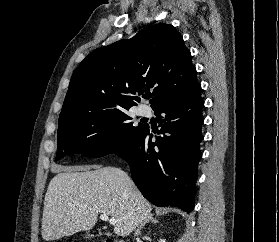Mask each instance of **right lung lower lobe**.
I'll list each match as a JSON object with an SVG mask.
<instances>
[{
    "instance_id": "obj_1",
    "label": "right lung lower lobe",
    "mask_w": 279,
    "mask_h": 242,
    "mask_svg": "<svg viewBox=\"0 0 279 242\" xmlns=\"http://www.w3.org/2000/svg\"><path fill=\"white\" fill-rule=\"evenodd\" d=\"M200 84L191 92L154 111L160 119V133L152 142L149 126L126 147L119 157L125 159L134 183L154 205H172L187 213L194 208L198 163L203 140ZM162 114V116H161Z\"/></svg>"
}]
</instances>
